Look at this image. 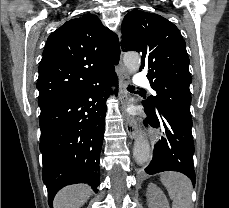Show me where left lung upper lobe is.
<instances>
[{
  "instance_id": "obj_1",
  "label": "left lung upper lobe",
  "mask_w": 229,
  "mask_h": 208,
  "mask_svg": "<svg viewBox=\"0 0 229 208\" xmlns=\"http://www.w3.org/2000/svg\"><path fill=\"white\" fill-rule=\"evenodd\" d=\"M121 32L123 51L142 55L140 70H148L147 78L157 93L143 104L191 118L190 61L179 29L158 14L133 11L124 17Z\"/></svg>"
}]
</instances>
